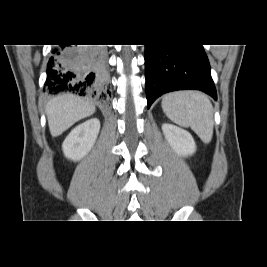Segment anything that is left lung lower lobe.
I'll use <instances>...</instances> for the list:
<instances>
[{
    "mask_svg": "<svg viewBox=\"0 0 267 267\" xmlns=\"http://www.w3.org/2000/svg\"><path fill=\"white\" fill-rule=\"evenodd\" d=\"M147 108L164 93L196 89L217 93L202 45H145Z\"/></svg>",
    "mask_w": 267,
    "mask_h": 267,
    "instance_id": "0a47b994",
    "label": "left lung lower lobe"
}]
</instances>
